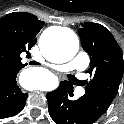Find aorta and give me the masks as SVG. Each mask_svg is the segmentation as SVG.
<instances>
[{"label":"aorta","instance_id":"1","mask_svg":"<svg viewBox=\"0 0 124 124\" xmlns=\"http://www.w3.org/2000/svg\"><path fill=\"white\" fill-rule=\"evenodd\" d=\"M40 48L44 56L58 63H65L71 60L79 49V40L76 34L66 28H61L55 36L44 33L40 39ZM31 70L22 72L20 78L23 86L28 90H37L39 85L32 80Z\"/></svg>","mask_w":124,"mask_h":124}]
</instances>
